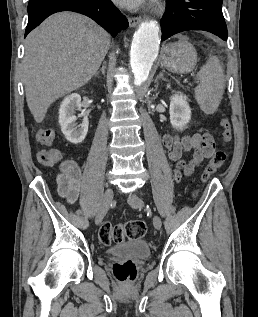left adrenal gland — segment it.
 Segmentation results:
<instances>
[{"label": "left adrenal gland", "mask_w": 258, "mask_h": 317, "mask_svg": "<svg viewBox=\"0 0 258 317\" xmlns=\"http://www.w3.org/2000/svg\"><path fill=\"white\" fill-rule=\"evenodd\" d=\"M158 78H162V80H166V78H164L163 72H159V74H157L155 78V82H158Z\"/></svg>", "instance_id": "1"}]
</instances>
